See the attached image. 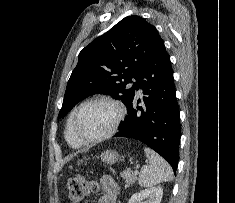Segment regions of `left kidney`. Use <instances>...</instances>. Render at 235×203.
<instances>
[{
  "mask_svg": "<svg viewBox=\"0 0 235 203\" xmlns=\"http://www.w3.org/2000/svg\"><path fill=\"white\" fill-rule=\"evenodd\" d=\"M162 195L160 186L152 187L133 194L128 203H160Z\"/></svg>",
  "mask_w": 235,
  "mask_h": 203,
  "instance_id": "1",
  "label": "left kidney"
}]
</instances>
